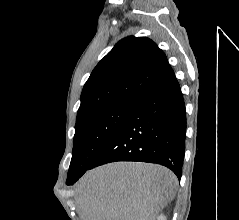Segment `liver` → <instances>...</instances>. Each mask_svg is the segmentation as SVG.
Listing matches in <instances>:
<instances>
[{
    "instance_id": "6515ba94",
    "label": "liver",
    "mask_w": 239,
    "mask_h": 220,
    "mask_svg": "<svg viewBox=\"0 0 239 220\" xmlns=\"http://www.w3.org/2000/svg\"><path fill=\"white\" fill-rule=\"evenodd\" d=\"M177 185L174 173L160 165L115 162L88 171L75 200L82 220H155Z\"/></svg>"
}]
</instances>
